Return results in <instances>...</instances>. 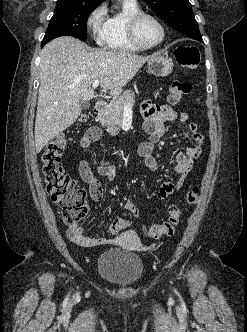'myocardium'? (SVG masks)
<instances>
[{"instance_id": "myocardium-1", "label": "myocardium", "mask_w": 247, "mask_h": 332, "mask_svg": "<svg viewBox=\"0 0 247 332\" xmlns=\"http://www.w3.org/2000/svg\"><path fill=\"white\" fill-rule=\"evenodd\" d=\"M145 17H150V18L154 19L158 23V25L160 26V29H161L160 40L151 45H145V44L141 43L138 38V35H137V28H138L139 22ZM127 32H128V37H129L130 41L132 42V44L135 45L140 50H148V49L155 48V47L159 46L160 44H162L166 37V29H165V26H164V23L162 22V20L157 15L150 13V12H145V11H140V12L134 14L129 19L128 26H127Z\"/></svg>"}]
</instances>
